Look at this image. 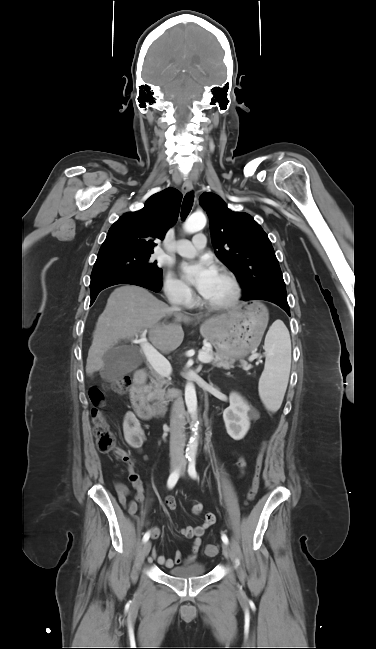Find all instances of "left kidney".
Here are the masks:
<instances>
[{
  "mask_svg": "<svg viewBox=\"0 0 376 649\" xmlns=\"http://www.w3.org/2000/svg\"><path fill=\"white\" fill-rule=\"evenodd\" d=\"M229 403V407L223 412L225 427L230 437L240 440L244 438L250 428L249 405L236 392L230 394Z\"/></svg>",
  "mask_w": 376,
  "mask_h": 649,
  "instance_id": "1",
  "label": "left kidney"
}]
</instances>
